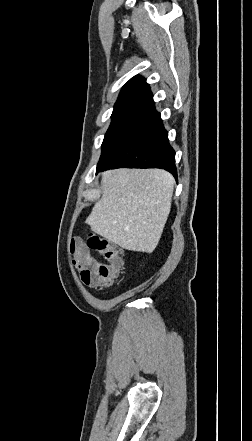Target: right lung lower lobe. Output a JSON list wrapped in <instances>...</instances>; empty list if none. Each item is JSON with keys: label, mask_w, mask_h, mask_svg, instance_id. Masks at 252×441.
<instances>
[{"label": "right lung lower lobe", "mask_w": 252, "mask_h": 441, "mask_svg": "<svg viewBox=\"0 0 252 441\" xmlns=\"http://www.w3.org/2000/svg\"><path fill=\"white\" fill-rule=\"evenodd\" d=\"M161 168L177 178L175 151L168 141L153 99L112 158L97 166V173L114 168Z\"/></svg>", "instance_id": "obj_1"}]
</instances>
